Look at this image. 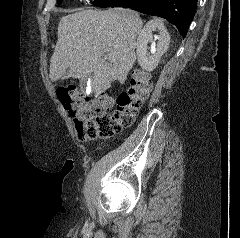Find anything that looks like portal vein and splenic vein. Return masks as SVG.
<instances>
[{"instance_id": "1", "label": "portal vein and splenic vein", "mask_w": 240, "mask_h": 238, "mask_svg": "<svg viewBox=\"0 0 240 238\" xmlns=\"http://www.w3.org/2000/svg\"><path fill=\"white\" fill-rule=\"evenodd\" d=\"M105 59H107L109 61L110 57L108 55H105Z\"/></svg>"}]
</instances>
